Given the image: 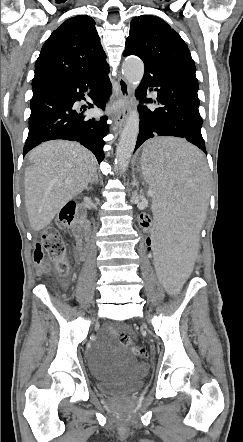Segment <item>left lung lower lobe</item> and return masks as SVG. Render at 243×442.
Wrapping results in <instances>:
<instances>
[{
    "label": "left lung lower lobe",
    "mask_w": 243,
    "mask_h": 442,
    "mask_svg": "<svg viewBox=\"0 0 243 442\" xmlns=\"http://www.w3.org/2000/svg\"><path fill=\"white\" fill-rule=\"evenodd\" d=\"M124 55L131 53L124 52ZM144 65L145 72L137 96L143 102L156 103L146 95L149 87H157V102L162 107H139L140 125L135 150L150 138L175 136L185 138L207 154L201 135L202 118L198 110V80L195 73L148 62H144Z\"/></svg>",
    "instance_id": "left-lung-lower-lobe-1"
}]
</instances>
